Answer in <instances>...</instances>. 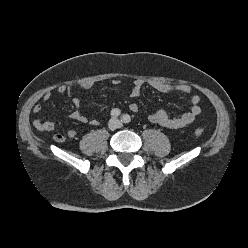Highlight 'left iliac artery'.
Masks as SVG:
<instances>
[{"label":"left iliac artery","mask_w":248,"mask_h":248,"mask_svg":"<svg viewBox=\"0 0 248 248\" xmlns=\"http://www.w3.org/2000/svg\"><path fill=\"white\" fill-rule=\"evenodd\" d=\"M121 121L124 123H129L131 121V118L128 114H124L121 118Z\"/></svg>","instance_id":"obj_1"}]
</instances>
